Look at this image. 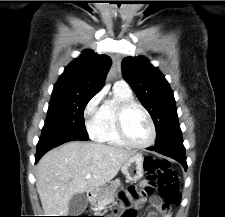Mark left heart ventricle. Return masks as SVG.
Instances as JSON below:
<instances>
[{
  "mask_svg": "<svg viewBox=\"0 0 225 217\" xmlns=\"http://www.w3.org/2000/svg\"><path fill=\"white\" fill-rule=\"evenodd\" d=\"M128 138L135 144H145L150 140L151 130L145 114L139 108H132L125 118Z\"/></svg>",
  "mask_w": 225,
  "mask_h": 217,
  "instance_id": "1",
  "label": "left heart ventricle"
}]
</instances>
